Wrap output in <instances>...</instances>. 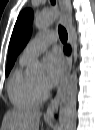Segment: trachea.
<instances>
[{
    "instance_id": "1",
    "label": "trachea",
    "mask_w": 95,
    "mask_h": 130,
    "mask_svg": "<svg viewBox=\"0 0 95 130\" xmlns=\"http://www.w3.org/2000/svg\"><path fill=\"white\" fill-rule=\"evenodd\" d=\"M55 3H56L55 0H51L52 5H55ZM58 32H59V37H60L61 41L63 43H66L68 36H67V32H66L65 28L63 26L59 25Z\"/></svg>"
}]
</instances>
